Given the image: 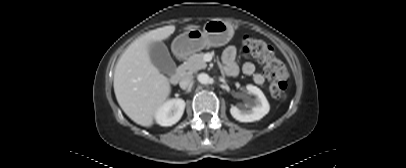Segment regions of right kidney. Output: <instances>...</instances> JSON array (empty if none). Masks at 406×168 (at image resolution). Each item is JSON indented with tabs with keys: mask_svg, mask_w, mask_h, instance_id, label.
Instances as JSON below:
<instances>
[{
	"mask_svg": "<svg viewBox=\"0 0 406 168\" xmlns=\"http://www.w3.org/2000/svg\"><path fill=\"white\" fill-rule=\"evenodd\" d=\"M184 109V100L171 99L164 103L156 112V122L161 126H172L181 119Z\"/></svg>",
	"mask_w": 406,
	"mask_h": 168,
	"instance_id": "ca27d5eb",
	"label": "right kidney"
}]
</instances>
